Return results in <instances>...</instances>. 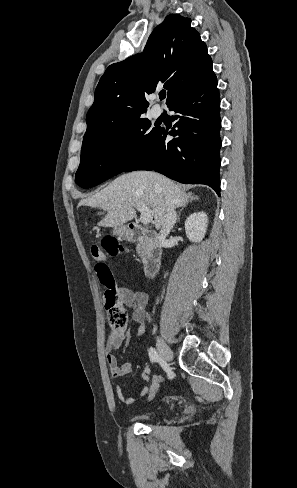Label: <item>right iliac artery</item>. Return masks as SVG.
<instances>
[{
    "label": "right iliac artery",
    "mask_w": 297,
    "mask_h": 488,
    "mask_svg": "<svg viewBox=\"0 0 297 488\" xmlns=\"http://www.w3.org/2000/svg\"><path fill=\"white\" fill-rule=\"evenodd\" d=\"M149 357L152 362H158L160 360L158 352L153 347L149 349Z\"/></svg>",
    "instance_id": "1"
}]
</instances>
